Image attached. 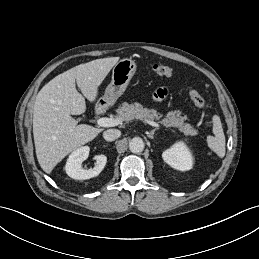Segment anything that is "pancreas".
Returning <instances> with one entry per match:
<instances>
[{"mask_svg": "<svg viewBox=\"0 0 259 259\" xmlns=\"http://www.w3.org/2000/svg\"><path fill=\"white\" fill-rule=\"evenodd\" d=\"M118 114L125 121H132L138 118L159 120L162 117V114L158 113L155 109L144 108L139 103L128 104L127 102L122 103L118 109ZM185 120L186 117L182 116L180 111H170L160 122L167 127H178L185 134H196V130L190 124L184 123Z\"/></svg>", "mask_w": 259, "mask_h": 259, "instance_id": "1", "label": "pancreas"}]
</instances>
